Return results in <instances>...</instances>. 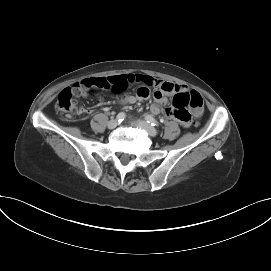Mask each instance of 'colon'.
Instances as JSON below:
<instances>
[{"instance_id":"5ec220e1","label":"colon","mask_w":271,"mask_h":271,"mask_svg":"<svg viewBox=\"0 0 271 271\" xmlns=\"http://www.w3.org/2000/svg\"><path fill=\"white\" fill-rule=\"evenodd\" d=\"M95 85L94 83H77L72 87H67L63 89L56 100L55 109L58 113L63 114L67 117H73L83 112V108L78 102L74 99L75 95H80L83 90L90 88ZM173 105L178 109H184L186 106H189L193 109L196 115H199L204 106V100L202 96L196 92L191 91L187 94H177L173 98ZM184 119L189 117L186 115L182 116Z\"/></svg>"}]
</instances>
